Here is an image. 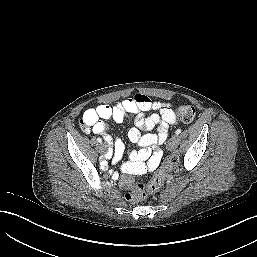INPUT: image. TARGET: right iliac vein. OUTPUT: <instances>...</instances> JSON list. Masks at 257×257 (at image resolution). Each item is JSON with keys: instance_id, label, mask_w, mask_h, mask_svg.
Masks as SVG:
<instances>
[{"instance_id": "63e3f726", "label": "right iliac vein", "mask_w": 257, "mask_h": 257, "mask_svg": "<svg viewBox=\"0 0 257 257\" xmlns=\"http://www.w3.org/2000/svg\"><path fill=\"white\" fill-rule=\"evenodd\" d=\"M99 149H100L101 152H105L106 149H107V146L104 143H101L100 146H99Z\"/></svg>"}]
</instances>
